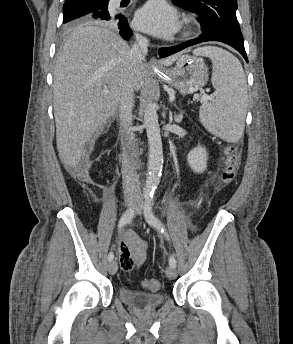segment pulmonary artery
I'll list each match as a JSON object with an SVG mask.
<instances>
[{"label":"pulmonary artery","mask_w":293,"mask_h":344,"mask_svg":"<svg viewBox=\"0 0 293 344\" xmlns=\"http://www.w3.org/2000/svg\"><path fill=\"white\" fill-rule=\"evenodd\" d=\"M116 2H119L120 0H115Z\"/></svg>","instance_id":"1"}]
</instances>
